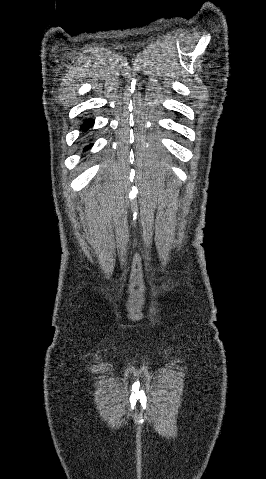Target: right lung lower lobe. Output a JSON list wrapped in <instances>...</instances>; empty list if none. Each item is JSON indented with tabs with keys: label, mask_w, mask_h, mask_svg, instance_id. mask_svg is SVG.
Here are the masks:
<instances>
[{
	"label": "right lung lower lobe",
	"mask_w": 266,
	"mask_h": 479,
	"mask_svg": "<svg viewBox=\"0 0 266 479\" xmlns=\"http://www.w3.org/2000/svg\"><path fill=\"white\" fill-rule=\"evenodd\" d=\"M94 124V121L92 119L86 120L82 125H81V130L83 132L87 131L90 127H92ZM93 144H89L88 146L84 147V151L88 150Z\"/></svg>",
	"instance_id": "right-lung-lower-lobe-1"
}]
</instances>
